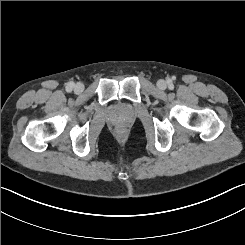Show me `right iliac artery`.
<instances>
[{"mask_svg": "<svg viewBox=\"0 0 245 245\" xmlns=\"http://www.w3.org/2000/svg\"><path fill=\"white\" fill-rule=\"evenodd\" d=\"M74 87V83H69L66 87L67 91H71L72 88Z\"/></svg>", "mask_w": 245, "mask_h": 245, "instance_id": "82829eb1", "label": "right iliac artery"}]
</instances>
